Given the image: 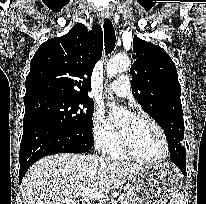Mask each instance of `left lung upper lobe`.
<instances>
[{"mask_svg": "<svg viewBox=\"0 0 206 204\" xmlns=\"http://www.w3.org/2000/svg\"><path fill=\"white\" fill-rule=\"evenodd\" d=\"M130 69L132 93L142 109L165 131L168 144L182 143L184 138L181 88L175 63L158 45L133 39Z\"/></svg>", "mask_w": 206, "mask_h": 204, "instance_id": "left-lung-upper-lobe-1", "label": "left lung upper lobe"}]
</instances>
